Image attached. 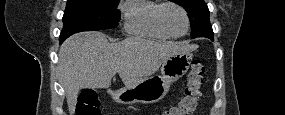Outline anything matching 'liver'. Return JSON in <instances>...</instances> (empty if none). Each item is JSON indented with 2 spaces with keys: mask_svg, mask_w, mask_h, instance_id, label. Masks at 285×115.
Here are the masks:
<instances>
[{
  "mask_svg": "<svg viewBox=\"0 0 285 115\" xmlns=\"http://www.w3.org/2000/svg\"><path fill=\"white\" fill-rule=\"evenodd\" d=\"M197 48L198 45L155 42L139 37L109 43L101 32L71 36L61 45L58 54V71L70 115L75 112L81 89L108 88L116 73L125 87H133L154 74L170 57Z\"/></svg>",
  "mask_w": 285,
  "mask_h": 115,
  "instance_id": "6515ba94",
  "label": "liver"
}]
</instances>
